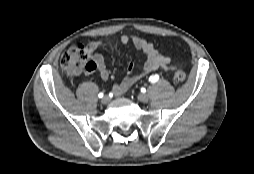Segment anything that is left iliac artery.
Wrapping results in <instances>:
<instances>
[{
    "instance_id": "left-iliac-artery-1",
    "label": "left iliac artery",
    "mask_w": 254,
    "mask_h": 174,
    "mask_svg": "<svg viewBox=\"0 0 254 174\" xmlns=\"http://www.w3.org/2000/svg\"><path fill=\"white\" fill-rule=\"evenodd\" d=\"M159 80V76L158 75H152L150 78H149V81L151 83H155Z\"/></svg>"
}]
</instances>
